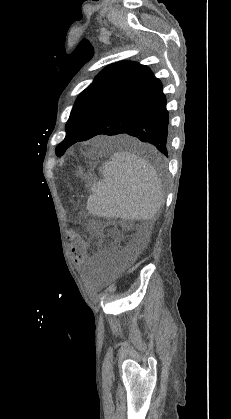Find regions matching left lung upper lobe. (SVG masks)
I'll use <instances>...</instances> for the list:
<instances>
[{
	"mask_svg": "<svg viewBox=\"0 0 231 419\" xmlns=\"http://www.w3.org/2000/svg\"><path fill=\"white\" fill-rule=\"evenodd\" d=\"M150 74L147 66L128 61L111 64L101 71L78 96L66 123V137L57 146L56 154L61 156L72 144L83 141Z\"/></svg>",
	"mask_w": 231,
	"mask_h": 419,
	"instance_id": "1",
	"label": "left lung upper lobe"
}]
</instances>
